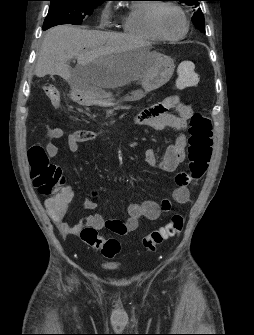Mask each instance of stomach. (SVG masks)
I'll use <instances>...</instances> for the list:
<instances>
[{"mask_svg": "<svg viewBox=\"0 0 254 335\" xmlns=\"http://www.w3.org/2000/svg\"><path fill=\"white\" fill-rule=\"evenodd\" d=\"M135 54H151L153 63L149 71L141 78L142 88L132 91L127 95L125 97V100L127 101L140 100L150 91L163 86L170 80L175 69V64L172 58L160 53L150 52L146 47L132 49L124 53L123 56H132ZM98 65L99 61H95L90 63L87 67L92 68ZM71 97L74 101L84 106L97 105L110 107L118 103L113 94L93 88H74Z\"/></svg>", "mask_w": 254, "mask_h": 335, "instance_id": "0dacf381", "label": "stomach"}]
</instances>
